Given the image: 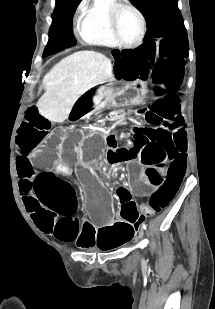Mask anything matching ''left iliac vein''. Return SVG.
Here are the masks:
<instances>
[{"mask_svg":"<svg viewBox=\"0 0 215 309\" xmlns=\"http://www.w3.org/2000/svg\"><path fill=\"white\" fill-rule=\"evenodd\" d=\"M143 235H144V228L141 226L140 229H139L138 239L141 240L143 238Z\"/></svg>","mask_w":215,"mask_h":309,"instance_id":"1","label":"left iliac vein"}]
</instances>
